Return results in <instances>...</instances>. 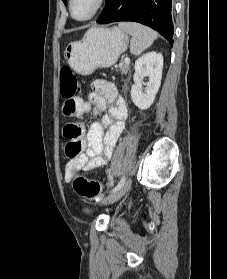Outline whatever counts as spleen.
<instances>
[{
    "label": "spleen",
    "mask_w": 227,
    "mask_h": 279,
    "mask_svg": "<svg viewBox=\"0 0 227 279\" xmlns=\"http://www.w3.org/2000/svg\"><path fill=\"white\" fill-rule=\"evenodd\" d=\"M118 26L132 36L130 52L136 56L150 47L158 37L155 31L138 23L120 22Z\"/></svg>",
    "instance_id": "obj_1"
}]
</instances>
